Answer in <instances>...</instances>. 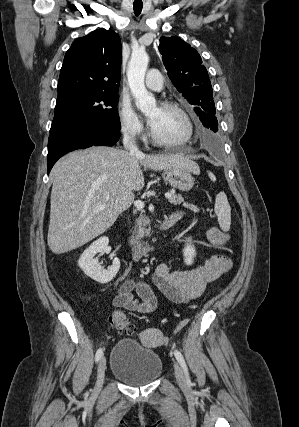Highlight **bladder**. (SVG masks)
<instances>
[{"mask_svg":"<svg viewBox=\"0 0 299 427\" xmlns=\"http://www.w3.org/2000/svg\"><path fill=\"white\" fill-rule=\"evenodd\" d=\"M110 369L111 373L123 382L139 386L160 376L162 360L159 355L137 341L121 339L112 349Z\"/></svg>","mask_w":299,"mask_h":427,"instance_id":"bladder-1","label":"bladder"}]
</instances>
